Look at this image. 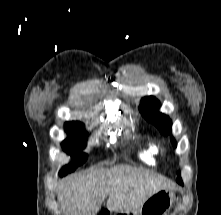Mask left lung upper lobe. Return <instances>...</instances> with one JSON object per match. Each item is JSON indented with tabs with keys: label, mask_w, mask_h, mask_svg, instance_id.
Wrapping results in <instances>:
<instances>
[{
	"label": "left lung upper lobe",
	"mask_w": 221,
	"mask_h": 215,
	"mask_svg": "<svg viewBox=\"0 0 221 215\" xmlns=\"http://www.w3.org/2000/svg\"><path fill=\"white\" fill-rule=\"evenodd\" d=\"M160 102L153 96L144 97L139 106V111L148 122L153 123L159 131L164 135H171L172 122L168 116L159 113L158 109ZM173 145L176 147V142L172 139ZM177 181H182L180 172L177 174Z\"/></svg>",
	"instance_id": "1"
}]
</instances>
